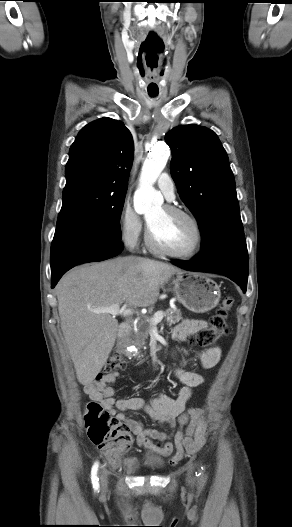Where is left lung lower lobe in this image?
Segmentation results:
<instances>
[{"label":"left lung lower lobe","instance_id":"left-lung-lower-lobe-1","mask_svg":"<svg viewBox=\"0 0 292 527\" xmlns=\"http://www.w3.org/2000/svg\"><path fill=\"white\" fill-rule=\"evenodd\" d=\"M173 264L189 270L224 275L246 292L248 279V252L246 241L225 242L201 251L190 261H173Z\"/></svg>","mask_w":292,"mask_h":527}]
</instances>
